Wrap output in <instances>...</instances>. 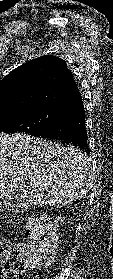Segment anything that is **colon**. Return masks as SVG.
Here are the masks:
<instances>
[{"mask_svg":"<svg viewBox=\"0 0 113 279\" xmlns=\"http://www.w3.org/2000/svg\"><path fill=\"white\" fill-rule=\"evenodd\" d=\"M27 244L10 249L0 241V275L1 265L6 270L13 268L17 273L23 272L29 260H42L52 257L55 251V234L51 231L44 217L32 218L27 222Z\"/></svg>","mask_w":113,"mask_h":279,"instance_id":"colon-1","label":"colon"}]
</instances>
